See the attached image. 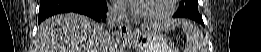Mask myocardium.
Returning a JSON list of instances; mask_svg holds the SVG:
<instances>
[{"label":"myocardium","instance_id":"f54148a6","mask_svg":"<svg viewBox=\"0 0 261 52\" xmlns=\"http://www.w3.org/2000/svg\"><path fill=\"white\" fill-rule=\"evenodd\" d=\"M176 3L177 0H168L166 9L154 15H144L139 13L135 2L130 3V9L134 17H136L140 21L147 23H160L168 19L174 13Z\"/></svg>","mask_w":261,"mask_h":52}]
</instances>
